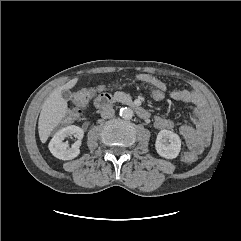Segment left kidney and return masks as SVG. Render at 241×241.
Returning a JSON list of instances; mask_svg holds the SVG:
<instances>
[{
  "mask_svg": "<svg viewBox=\"0 0 241 241\" xmlns=\"http://www.w3.org/2000/svg\"><path fill=\"white\" fill-rule=\"evenodd\" d=\"M155 148L161 157L174 159L181 150V139L173 131L161 130L157 135Z\"/></svg>",
  "mask_w": 241,
  "mask_h": 241,
  "instance_id": "obj_1",
  "label": "left kidney"
}]
</instances>
